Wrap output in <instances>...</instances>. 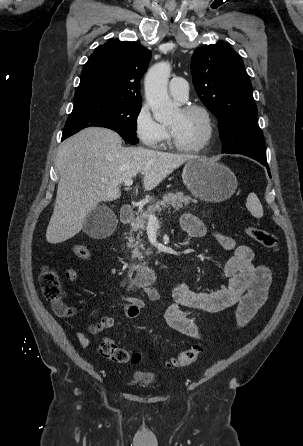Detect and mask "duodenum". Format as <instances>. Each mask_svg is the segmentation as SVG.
<instances>
[{"mask_svg":"<svg viewBox=\"0 0 303 446\" xmlns=\"http://www.w3.org/2000/svg\"><path fill=\"white\" fill-rule=\"evenodd\" d=\"M134 218V211L130 207H124L120 212V220L123 224H129ZM154 278V270L148 266L135 265L132 268V279L139 285L150 284Z\"/></svg>","mask_w":303,"mask_h":446,"instance_id":"410a0bca","label":"duodenum"}]
</instances>
